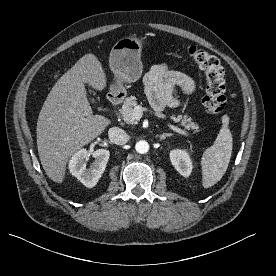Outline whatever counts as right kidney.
Returning a JSON list of instances; mask_svg holds the SVG:
<instances>
[{
  "label": "right kidney",
  "mask_w": 276,
  "mask_h": 276,
  "mask_svg": "<svg viewBox=\"0 0 276 276\" xmlns=\"http://www.w3.org/2000/svg\"><path fill=\"white\" fill-rule=\"evenodd\" d=\"M95 162L86 167V160L90 156L86 149L77 151L69 161L70 173L88 188L94 187L105 171L110 152L106 149H98L91 153Z\"/></svg>",
  "instance_id": "1"
}]
</instances>
